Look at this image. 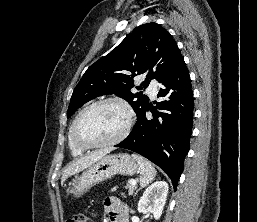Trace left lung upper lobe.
Segmentation results:
<instances>
[{
    "mask_svg": "<svg viewBox=\"0 0 257 222\" xmlns=\"http://www.w3.org/2000/svg\"><path fill=\"white\" fill-rule=\"evenodd\" d=\"M183 56L172 35L157 23H146L134 29L109 54L92 64L74 89L67 117L86 102L102 95L115 94L125 99L136 115L142 112L149 98L133 93V77L145 74L137 86L146 88L151 79L158 82Z\"/></svg>",
    "mask_w": 257,
    "mask_h": 222,
    "instance_id": "left-lung-upper-lobe-1",
    "label": "left lung upper lobe"
}]
</instances>
